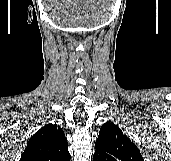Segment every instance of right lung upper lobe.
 Instances as JSON below:
<instances>
[{"instance_id": "obj_1", "label": "right lung upper lobe", "mask_w": 171, "mask_h": 161, "mask_svg": "<svg viewBox=\"0 0 171 161\" xmlns=\"http://www.w3.org/2000/svg\"><path fill=\"white\" fill-rule=\"evenodd\" d=\"M20 161H70L68 143L57 124H47L29 140Z\"/></svg>"}]
</instances>
